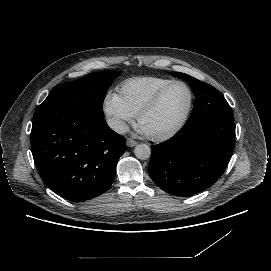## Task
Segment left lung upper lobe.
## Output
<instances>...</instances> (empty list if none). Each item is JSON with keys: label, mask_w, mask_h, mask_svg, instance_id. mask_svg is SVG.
<instances>
[{"label": "left lung upper lobe", "mask_w": 271, "mask_h": 271, "mask_svg": "<svg viewBox=\"0 0 271 271\" xmlns=\"http://www.w3.org/2000/svg\"><path fill=\"white\" fill-rule=\"evenodd\" d=\"M172 76L191 84L196 97L189 121L205 116L234 117L223 95L213 86L180 72H170Z\"/></svg>", "instance_id": "left-lung-upper-lobe-1"}]
</instances>
